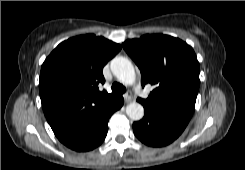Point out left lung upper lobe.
<instances>
[{"label": "left lung upper lobe", "instance_id": "obj_1", "mask_svg": "<svg viewBox=\"0 0 245 170\" xmlns=\"http://www.w3.org/2000/svg\"><path fill=\"white\" fill-rule=\"evenodd\" d=\"M122 45L140 69L142 86L155 87L147 99L138 101L190 119L200 85L199 62L192 47L162 34H147Z\"/></svg>", "mask_w": 245, "mask_h": 170}]
</instances>
